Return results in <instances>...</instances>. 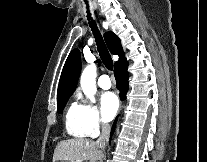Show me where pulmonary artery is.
<instances>
[{
  "label": "pulmonary artery",
  "mask_w": 207,
  "mask_h": 162,
  "mask_svg": "<svg viewBox=\"0 0 207 162\" xmlns=\"http://www.w3.org/2000/svg\"><path fill=\"white\" fill-rule=\"evenodd\" d=\"M98 86L102 89H110L111 88V81L107 75H102L98 79Z\"/></svg>",
  "instance_id": "1"
}]
</instances>
